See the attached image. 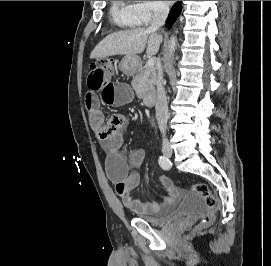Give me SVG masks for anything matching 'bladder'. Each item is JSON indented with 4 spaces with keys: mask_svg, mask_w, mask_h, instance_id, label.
Wrapping results in <instances>:
<instances>
[{
    "mask_svg": "<svg viewBox=\"0 0 271 266\" xmlns=\"http://www.w3.org/2000/svg\"><path fill=\"white\" fill-rule=\"evenodd\" d=\"M205 205L202 198L195 192L186 193L181 204L172 212L163 215L162 217L147 216L142 214L135 215L136 218L142 219L152 225H163L167 222L182 219L188 215L203 213Z\"/></svg>",
    "mask_w": 271,
    "mask_h": 266,
    "instance_id": "obj_1",
    "label": "bladder"
}]
</instances>
